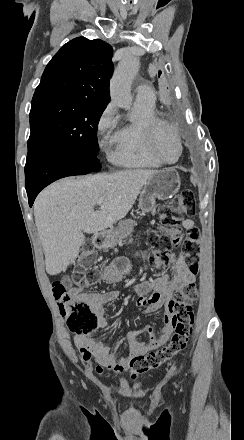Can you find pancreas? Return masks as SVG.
Wrapping results in <instances>:
<instances>
[{
    "mask_svg": "<svg viewBox=\"0 0 244 440\" xmlns=\"http://www.w3.org/2000/svg\"><path fill=\"white\" fill-rule=\"evenodd\" d=\"M112 236L113 240L111 246H116L118 242H122V240H124V238H128L130 234H121V232H117V234H112Z\"/></svg>",
    "mask_w": 244,
    "mask_h": 440,
    "instance_id": "obj_1",
    "label": "pancreas"
}]
</instances>
